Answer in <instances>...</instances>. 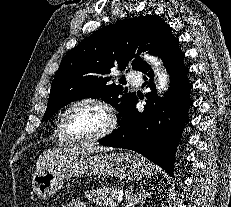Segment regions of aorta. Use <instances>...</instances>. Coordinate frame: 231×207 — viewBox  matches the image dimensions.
<instances>
[{
  "label": "aorta",
  "instance_id": "762f6f07",
  "mask_svg": "<svg viewBox=\"0 0 231 207\" xmlns=\"http://www.w3.org/2000/svg\"><path fill=\"white\" fill-rule=\"evenodd\" d=\"M141 57L149 63L151 66H153L156 76H157V90L160 94L164 93L167 90L168 82H169V75L167 74V71L162 66L161 60H159L157 57L149 54L141 55Z\"/></svg>",
  "mask_w": 231,
  "mask_h": 207
}]
</instances>
